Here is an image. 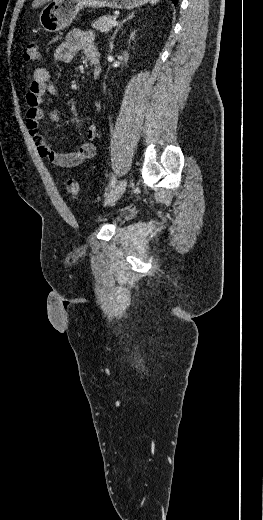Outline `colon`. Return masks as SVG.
I'll return each instance as SVG.
<instances>
[{"mask_svg":"<svg viewBox=\"0 0 263 520\" xmlns=\"http://www.w3.org/2000/svg\"><path fill=\"white\" fill-rule=\"evenodd\" d=\"M26 61L37 62L40 59L39 46L35 41L27 44L23 55ZM65 188L71 197H78L81 194V186L77 179L69 177L65 180Z\"/></svg>","mask_w":263,"mask_h":520,"instance_id":"colon-1","label":"colon"}]
</instances>
